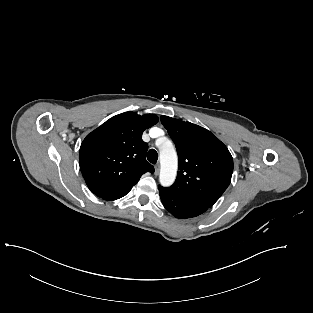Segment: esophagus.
<instances>
[{
	"label": "esophagus",
	"mask_w": 313,
	"mask_h": 313,
	"mask_svg": "<svg viewBox=\"0 0 313 313\" xmlns=\"http://www.w3.org/2000/svg\"><path fill=\"white\" fill-rule=\"evenodd\" d=\"M159 171H160V165H159V164H156V165H155V175H158V174H159Z\"/></svg>",
	"instance_id": "esophagus-1"
}]
</instances>
